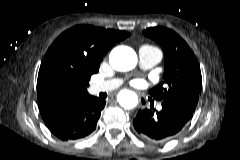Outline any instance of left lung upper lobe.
<instances>
[{
  "label": "left lung upper lobe",
  "instance_id": "1",
  "mask_svg": "<svg viewBox=\"0 0 240 160\" xmlns=\"http://www.w3.org/2000/svg\"><path fill=\"white\" fill-rule=\"evenodd\" d=\"M144 35L159 43L165 53L164 82L151 89V96L194 112L201 94L199 63L187 43L173 30L151 27Z\"/></svg>",
  "mask_w": 240,
  "mask_h": 160
}]
</instances>
